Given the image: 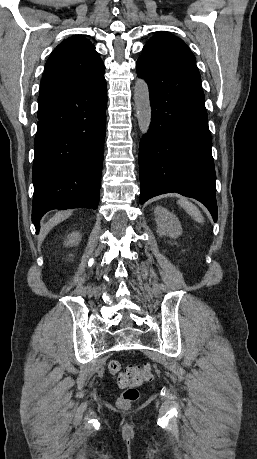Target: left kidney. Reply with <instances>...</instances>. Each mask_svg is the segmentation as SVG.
<instances>
[{"label": "left kidney", "mask_w": 257, "mask_h": 459, "mask_svg": "<svg viewBox=\"0 0 257 459\" xmlns=\"http://www.w3.org/2000/svg\"><path fill=\"white\" fill-rule=\"evenodd\" d=\"M157 232L160 236L176 238L181 235L182 227L178 218L167 209L157 206L154 210Z\"/></svg>", "instance_id": "5707ae66"}]
</instances>
